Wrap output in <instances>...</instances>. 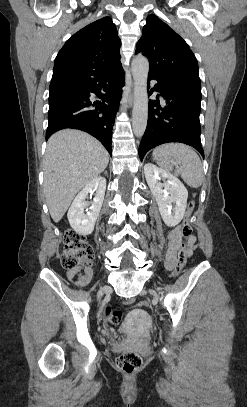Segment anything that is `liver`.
<instances>
[{
    "instance_id": "obj_1",
    "label": "liver",
    "mask_w": 247,
    "mask_h": 407,
    "mask_svg": "<svg viewBox=\"0 0 247 407\" xmlns=\"http://www.w3.org/2000/svg\"><path fill=\"white\" fill-rule=\"evenodd\" d=\"M109 155L91 135L64 129L52 135L44 156V194L50 215L59 222L76 194L104 171Z\"/></svg>"
}]
</instances>
